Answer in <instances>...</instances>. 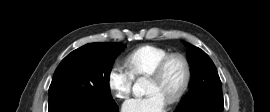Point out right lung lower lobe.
Here are the masks:
<instances>
[{"label": "right lung lower lobe", "mask_w": 270, "mask_h": 112, "mask_svg": "<svg viewBox=\"0 0 270 112\" xmlns=\"http://www.w3.org/2000/svg\"><path fill=\"white\" fill-rule=\"evenodd\" d=\"M48 112H119L118 106L100 105L88 98L78 97L76 99L54 103L49 105Z\"/></svg>", "instance_id": "1"}]
</instances>
